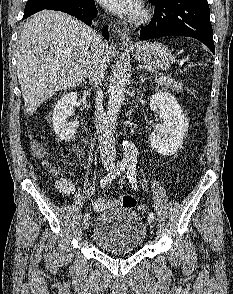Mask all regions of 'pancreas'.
Masks as SVG:
<instances>
[{
	"label": "pancreas",
	"mask_w": 233,
	"mask_h": 294,
	"mask_svg": "<svg viewBox=\"0 0 233 294\" xmlns=\"http://www.w3.org/2000/svg\"><path fill=\"white\" fill-rule=\"evenodd\" d=\"M161 85L167 88H171L172 90H175L178 92L183 90V85L181 82L176 81L174 79H170V78L166 79L165 81H162Z\"/></svg>",
	"instance_id": "1"
}]
</instances>
